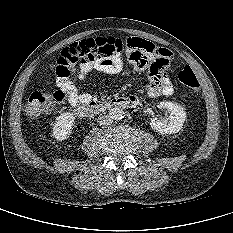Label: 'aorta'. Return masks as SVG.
Returning a JSON list of instances; mask_svg holds the SVG:
<instances>
[{"mask_svg": "<svg viewBox=\"0 0 233 233\" xmlns=\"http://www.w3.org/2000/svg\"><path fill=\"white\" fill-rule=\"evenodd\" d=\"M108 115L110 116L112 120H121L124 118L125 113L122 109L115 107L109 111Z\"/></svg>", "mask_w": 233, "mask_h": 233, "instance_id": "aorta-1", "label": "aorta"}]
</instances>
